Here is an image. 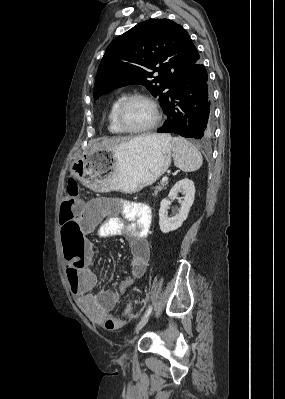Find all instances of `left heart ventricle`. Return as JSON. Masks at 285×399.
Listing matches in <instances>:
<instances>
[{"instance_id": "b2bd125f", "label": "left heart ventricle", "mask_w": 285, "mask_h": 399, "mask_svg": "<svg viewBox=\"0 0 285 399\" xmlns=\"http://www.w3.org/2000/svg\"><path fill=\"white\" fill-rule=\"evenodd\" d=\"M153 107L144 100L132 101L124 111V122L128 127L141 128L154 119Z\"/></svg>"}]
</instances>
